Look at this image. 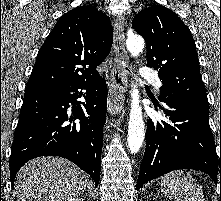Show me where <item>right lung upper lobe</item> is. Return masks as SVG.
<instances>
[{
    "label": "right lung upper lobe",
    "mask_w": 221,
    "mask_h": 201,
    "mask_svg": "<svg viewBox=\"0 0 221 201\" xmlns=\"http://www.w3.org/2000/svg\"><path fill=\"white\" fill-rule=\"evenodd\" d=\"M113 42L109 17L76 7L60 17L40 48L27 87H56L100 77Z\"/></svg>",
    "instance_id": "1"
}]
</instances>
